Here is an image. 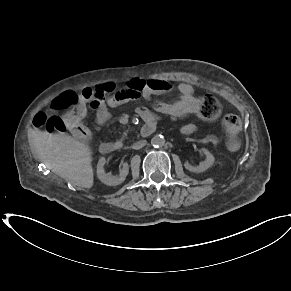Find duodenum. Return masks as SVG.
Here are the masks:
<instances>
[{
    "mask_svg": "<svg viewBox=\"0 0 291 291\" xmlns=\"http://www.w3.org/2000/svg\"><path fill=\"white\" fill-rule=\"evenodd\" d=\"M147 122L141 127L142 135H150L155 130V121H152L150 118L145 119ZM117 149V145L112 142H104L100 146V151L102 154H110Z\"/></svg>",
    "mask_w": 291,
    "mask_h": 291,
    "instance_id": "1",
    "label": "duodenum"
}]
</instances>
